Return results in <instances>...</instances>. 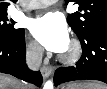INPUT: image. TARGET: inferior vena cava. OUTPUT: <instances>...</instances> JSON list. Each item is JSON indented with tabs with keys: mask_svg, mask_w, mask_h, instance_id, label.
Returning a JSON list of instances; mask_svg holds the SVG:
<instances>
[{
	"mask_svg": "<svg viewBox=\"0 0 107 89\" xmlns=\"http://www.w3.org/2000/svg\"><path fill=\"white\" fill-rule=\"evenodd\" d=\"M43 56V48L39 44L32 45L26 55L27 66L34 71L39 70Z\"/></svg>",
	"mask_w": 107,
	"mask_h": 89,
	"instance_id": "602c4592",
	"label": "inferior vena cava"
}]
</instances>
